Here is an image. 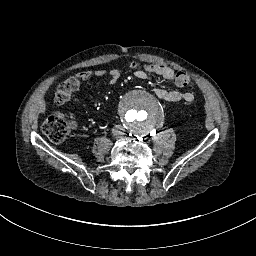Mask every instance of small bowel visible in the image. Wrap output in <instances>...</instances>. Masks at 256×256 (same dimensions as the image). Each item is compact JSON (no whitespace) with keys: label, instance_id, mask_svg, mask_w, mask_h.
<instances>
[{"label":"small bowel","instance_id":"obj_1","mask_svg":"<svg viewBox=\"0 0 256 256\" xmlns=\"http://www.w3.org/2000/svg\"><path fill=\"white\" fill-rule=\"evenodd\" d=\"M130 67L132 69H136L135 75L139 79H146L148 74H156L167 81H173L175 80L177 74L171 67L162 64L147 65L144 67V69H139L137 63L132 62L130 64ZM78 76L82 80H88L91 77H107L109 84L114 85L118 82L120 78V70L118 68H113L109 71L96 69L93 71L80 72ZM155 94L158 98L167 102H178L182 100L184 102L190 103L194 99V94L190 91L180 92L177 90H166L162 87L156 88Z\"/></svg>","mask_w":256,"mask_h":256}]
</instances>
